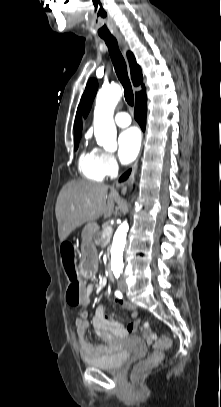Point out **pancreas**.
Wrapping results in <instances>:
<instances>
[{
	"mask_svg": "<svg viewBox=\"0 0 221 407\" xmlns=\"http://www.w3.org/2000/svg\"><path fill=\"white\" fill-rule=\"evenodd\" d=\"M106 227H107V226L105 225V226H104V229H105ZM103 231H104V230H103ZM103 231L98 232V238L95 240V244L98 245V246L102 245V243H103Z\"/></svg>",
	"mask_w": 221,
	"mask_h": 407,
	"instance_id": "cf45deb5",
	"label": "pancreas"
}]
</instances>
